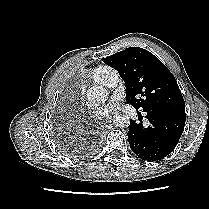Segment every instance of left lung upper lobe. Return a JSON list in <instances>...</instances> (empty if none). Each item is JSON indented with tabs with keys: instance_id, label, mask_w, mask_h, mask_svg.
<instances>
[{
	"instance_id": "1",
	"label": "left lung upper lobe",
	"mask_w": 209,
	"mask_h": 209,
	"mask_svg": "<svg viewBox=\"0 0 209 209\" xmlns=\"http://www.w3.org/2000/svg\"><path fill=\"white\" fill-rule=\"evenodd\" d=\"M126 83V98L136 110H172L185 114L178 84L168 68L151 52L130 47L104 58Z\"/></svg>"
}]
</instances>
